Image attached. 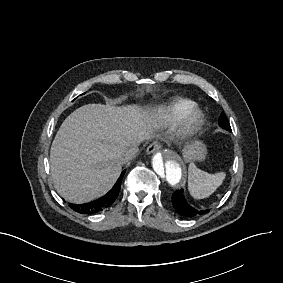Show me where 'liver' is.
Instances as JSON below:
<instances>
[{
  "instance_id": "1",
  "label": "liver",
  "mask_w": 283,
  "mask_h": 283,
  "mask_svg": "<svg viewBox=\"0 0 283 283\" xmlns=\"http://www.w3.org/2000/svg\"><path fill=\"white\" fill-rule=\"evenodd\" d=\"M158 119L149 107L135 104H87L73 111L50 150V171L59 195L76 204L105 195L122 170L118 155L152 138Z\"/></svg>"
}]
</instances>
